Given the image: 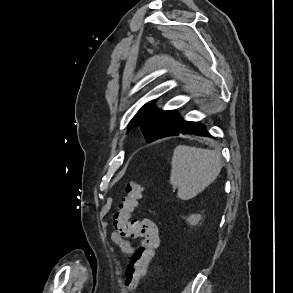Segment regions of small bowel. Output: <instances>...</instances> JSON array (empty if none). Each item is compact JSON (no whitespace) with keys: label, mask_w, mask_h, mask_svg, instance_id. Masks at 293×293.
Masks as SVG:
<instances>
[{"label":"small bowel","mask_w":293,"mask_h":293,"mask_svg":"<svg viewBox=\"0 0 293 293\" xmlns=\"http://www.w3.org/2000/svg\"><path fill=\"white\" fill-rule=\"evenodd\" d=\"M111 240L121 249L123 253L132 254L134 252V245L118 232L111 233Z\"/></svg>","instance_id":"c3829d8e"}]
</instances>
